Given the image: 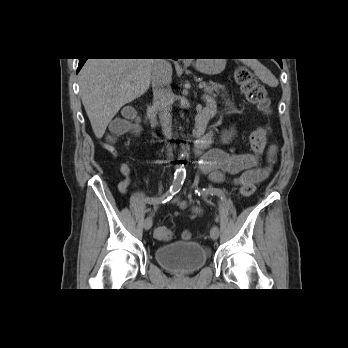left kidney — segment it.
Listing matches in <instances>:
<instances>
[{
    "label": "left kidney",
    "instance_id": "left-kidney-1",
    "mask_svg": "<svg viewBox=\"0 0 348 348\" xmlns=\"http://www.w3.org/2000/svg\"><path fill=\"white\" fill-rule=\"evenodd\" d=\"M234 135V132H233V130H231V131H225V132H223L222 133V141L224 142V143H228V141L231 139V137Z\"/></svg>",
    "mask_w": 348,
    "mask_h": 348
}]
</instances>
